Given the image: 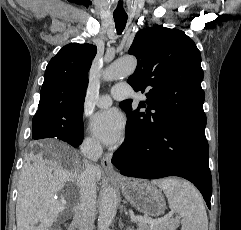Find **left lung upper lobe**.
Here are the masks:
<instances>
[{"instance_id":"obj_1","label":"left lung upper lobe","mask_w":241,"mask_h":230,"mask_svg":"<svg viewBox=\"0 0 241 230\" xmlns=\"http://www.w3.org/2000/svg\"><path fill=\"white\" fill-rule=\"evenodd\" d=\"M128 53L138 60L128 83L148 98L135 112L130 100L121 102L128 120H137L148 134L169 124L205 128L201 54L191 38L178 29L146 28L136 34ZM140 108L146 111L139 112Z\"/></svg>"}]
</instances>
